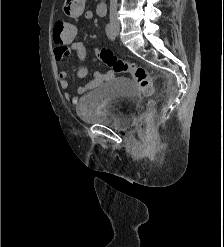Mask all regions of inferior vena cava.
<instances>
[{"mask_svg":"<svg viewBox=\"0 0 224 247\" xmlns=\"http://www.w3.org/2000/svg\"><path fill=\"white\" fill-rule=\"evenodd\" d=\"M110 22L114 26H119L117 18V0H110Z\"/></svg>","mask_w":224,"mask_h":247,"instance_id":"1","label":"inferior vena cava"}]
</instances>
